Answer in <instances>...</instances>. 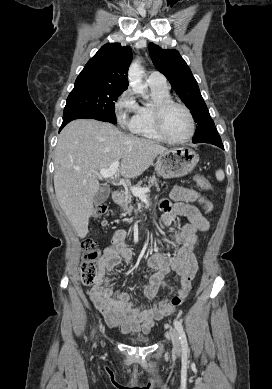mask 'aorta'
<instances>
[{
	"instance_id": "obj_1",
	"label": "aorta",
	"mask_w": 272,
	"mask_h": 389,
	"mask_svg": "<svg viewBox=\"0 0 272 389\" xmlns=\"http://www.w3.org/2000/svg\"><path fill=\"white\" fill-rule=\"evenodd\" d=\"M143 70L138 60L134 61L128 70V80L132 90L136 94L142 95L144 99H148V96L145 94V86L142 81Z\"/></svg>"
}]
</instances>
